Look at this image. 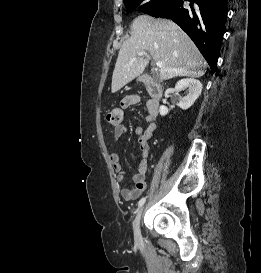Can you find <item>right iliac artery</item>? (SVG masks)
<instances>
[{"mask_svg": "<svg viewBox=\"0 0 261 273\" xmlns=\"http://www.w3.org/2000/svg\"><path fill=\"white\" fill-rule=\"evenodd\" d=\"M146 201V197H143L140 199V201L138 202V207H141Z\"/></svg>", "mask_w": 261, "mask_h": 273, "instance_id": "obj_1", "label": "right iliac artery"}]
</instances>
